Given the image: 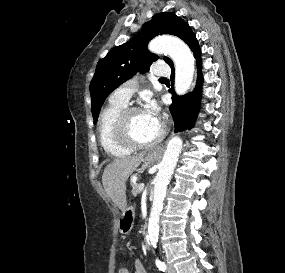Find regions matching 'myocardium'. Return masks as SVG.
<instances>
[{
  "label": "myocardium",
  "instance_id": "obj_1",
  "mask_svg": "<svg viewBox=\"0 0 285 273\" xmlns=\"http://www.w3.org/2000/svg\"><path fill=\"white\" fill-rule=\"evenodd\" d=\"M141 111L137 106H126L119 113L114 127V134L117 142L128 149H144L158 144L166 135V126L160 123L158 135L151 141L138 142L129 133V118L135 113Z\"/></svg>",
  "mask_w": 285,
  "mask_h": 273
}]
</instances>
